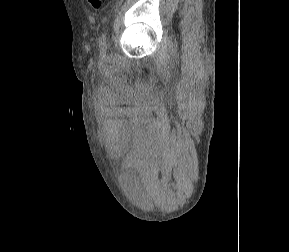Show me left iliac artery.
<instances>
[{
  "mask_svg": "<svg viewBox=\"0 0 289 252\" xmlns=\"http://www.w3.org/2000/svg\"><path fill=\"white\" fill-rule=\"evenodd\" d=\"M99 44L101 47L106 48L107 46V37H106V32H103L99 38Z\"/></svg>",
  "mask_w": 289,
  "mask_h": 252,
  "instance_id": "left-iliac-artery-1",
  "label": "left iliac artery"
}]
</instances>
